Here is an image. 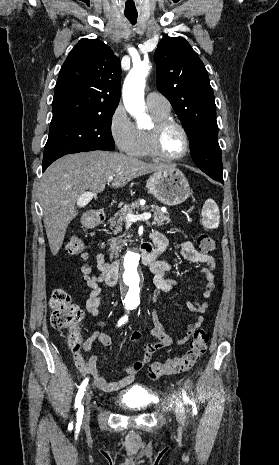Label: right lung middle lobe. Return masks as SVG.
I'll list each match as a JSON object with an SVG mask.
<instances>
[{"label": "right lung middle lobe", "mask_w": 279, "mask_h": 465, "mask_svg": "<svg viewBox=\"0 0 279 465\" xmlns=\"http://www.w3.org/2000/svg\"><path fill=\"white\" fill-rule=\"evenodd\" d=\"M114 111L51 124L44 149L43 166H49L66 154L82 152L89 146L113 150L114 140L110 126Z\"/></svg>", "instance_id": "right-lung-middle-lobe-1"}]
</instances>
